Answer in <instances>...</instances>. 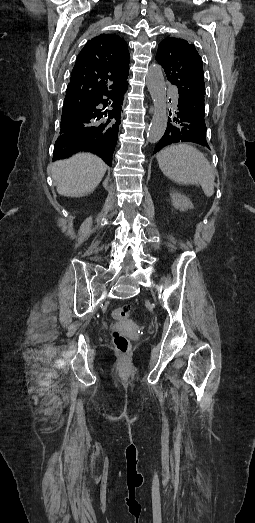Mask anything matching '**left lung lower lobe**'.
Segmentation results:
<instances>
[{
	"mask_svg": "<svg viewBox=\"0 0 255 523\" xmlns=\"http://www.w3.org/2000/svg\"><path fill=\"white\" fill-rule=\"evenodd\" d=\"M191 112L184 106L176 105L171 114L168 115L167 128L164 130V137L156 141V146L152 149L154 154L160 153V148L174 145L200 146L206 150L211 149V144L206 140L207 126L203 121H198L195 115H188Z\"/></svg>",
	"mask_w": 255,
	"mask_h": 523,
	"instance_id": "0a47b994",
	"label": "left lung lower lobe"
}]
</instances>
